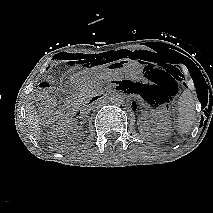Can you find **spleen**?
<instances>
[{"label": "spleen", "instance_id": "1", "mask_svg": "<svg viewBox=\"0 0 213 213\" xmlns=\"http://www.w3.org/2000/svg\"><path fill=\"white\" fill-rule=\"evenodd\" d=\"M177 131L180 135L187 134L196 120L195 100L190 91L186 90L180 97Z\"/></svg>", "mask_w": 213, "mask_h": 213}]
</instances>
